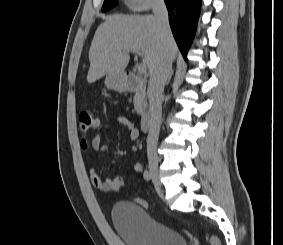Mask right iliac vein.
<instances>
[{"instance_id": "obj_1", "label": "right iliac vein", "mask_w": 283, "mask_h": 245, "mask_svg": "<svg viewBox=\"0 0 283 245\" xmlns=\"http://www.w3.org/2000/svg\"><path fill=\"white\" fill-rule=\"evenodd\" d=\"M149 170H150L151 178H152L155 186L160 191H162V185L160 183V176H159L157 161L153 158L149 159Z\"/></svg>"}]
</instances>
